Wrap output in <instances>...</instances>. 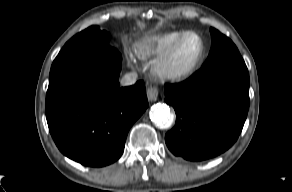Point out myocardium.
Returning <instances> with one entry per match:
<instances>
[{
  "label": "myocardium",
  "mask_w": 292,
  "mask_h": 192,
  "mask_svg": "<svg viewBox=\"0 0 292 192\" xmlns=\"http://www.w3.org/2000/svg\"><path fill=\"white\" fill-rule=\"evenodd\" d=\"M189 36H196L201 42V51L191 65L186 68H178L175 60L182 43ZM207 55V45L201 34L195 31H187L173 44L168 52L159 60L155 67L157 75L169 81H181L191 77L203 64Z\"/></svg>",
  "instance_id": "1"
}]
</instances>
